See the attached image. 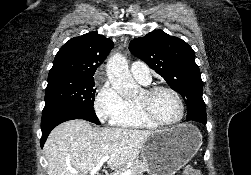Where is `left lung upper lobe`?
Masks as SVG:
<instances>
[{
	"label": "left lung upper lobe",
	"mask_w": 251,
	"mask_h": 175,
	"mask_svg": "<svg viewBox=\"0 0 251 175\" xmlns=\"http://www.w3.org/2000/svg\"><path fill=\"white\" fill-rule=\"evenodd\" d=\"M130 52L159 73L186 104H205L203 82L193 49L178 37L155 30L129 44Z\"/></svg>",
	"instance_id": "obj_1"
}]
</instances>
